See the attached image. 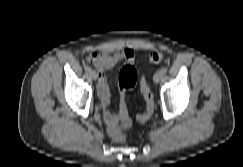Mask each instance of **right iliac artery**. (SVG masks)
I'll use <instances>...</instances> for the list:
<instances>
[{"label": "right iliac artery", "instance_id": "82829eb1", "mask_svg": "<svg viewBox=\"0 0 243 167\" xmlns=\"http://www.w3.org/2000/svg\"><path fill=\"white\" fill-rule=\"evenodd\" d=\"M84 69H85V71H90L91 70V68L88 65H85Z\"/></svg>", "mask_w": 243, "mask_h": 167}]
</instances>
